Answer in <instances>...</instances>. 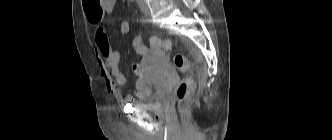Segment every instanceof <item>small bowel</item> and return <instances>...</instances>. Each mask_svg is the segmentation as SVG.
Masks as SVG:
<instances>
[{"instance_id":"obj_1","label":"small bowel","mask_w":332,"mask_h":140,"mask_svg":"<svg viewBox=\"0 0 332 140\" xmlns=\"http://www.w3.org/2000/svg\"><path fill=\"white\" fill-rule=\"evenodd\" d=\"M117 0H104L102 4V15H109L113 12L116 6ZM89 22L97 24L99 21L89 19ZM132 48L138 55H145L148 52V48L144 44L143 37L137 35L132 40ZM95 50L96 61L99 66L101 76L105 80L106 89L109 93L119 95V86L126 85V77L119 68L120 53L115 49L109 40V37L102 26H98L95 32ZM134 73L137 77L135 83L134 95H127L125 100L130 102L134 96L143 98L150 90L151 85L142 69L140 64L134 65Z\"/></svg>"}]
</instances>
